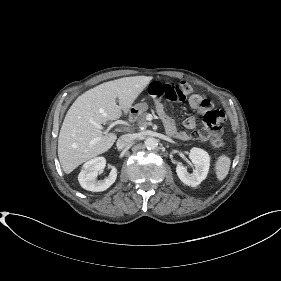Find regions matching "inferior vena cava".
<instances>
[{"mask_svg":"<svg viewBox=\"0 0 281 281\" xmlns=\"http://www.w3.org/2000/svg\"><path fill=\"white\" fill-rule=\"evenodd\" d=\"M133 140L134 138L131 134H125L118 138L116 145L119 149H122L131 144Z\"/></svg>","mask_w":281,"mask_h":281,"instance_id":"1","label":"inferior vena cava"}]
</instances>
